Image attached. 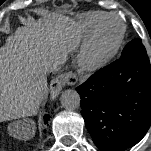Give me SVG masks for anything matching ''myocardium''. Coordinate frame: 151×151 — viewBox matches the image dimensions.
<instances>
[{
	"instance_id": "1",
	"label": "myocardium",
	"mask_w": 151,
	"mask_h": 151,
	"mask_svg": "<svg viewBox=\"0 0 151 151\" xmlns=\"http://www.w3.org/2000/svg\"><path fill=\"white\" fill-rule=\"evenodd\" d=\"M109 19H116L120 23V32L113 42V44L105 51L98 50V41L100 37L101 30L105 22ZM126 33V25L119 18L118 15L114 13L106 14L102 17L95 27L90 32L81 52L79 55V62L83 69L88 71H94L101 69L107 65L118 53L122 42L124 40Z\"/></svg>"
}]
</instances>
